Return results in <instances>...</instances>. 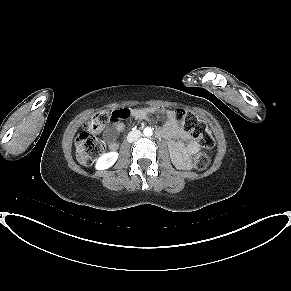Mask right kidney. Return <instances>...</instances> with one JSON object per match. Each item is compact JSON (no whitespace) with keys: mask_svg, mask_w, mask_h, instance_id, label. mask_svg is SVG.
Listing matches in <instances>:
<instances>
[{"mask_svg":"<svg viewBox=\"0 0 291 291\" xmlns=\"http://www.w3.org/2000/svg\"><path fill=\"white\" fill-rule=\"evenodd\" d=\"M119 154L117 152H108L101 155L96 162L95 168L97 170H105L110 168L118 159Z\"/></svg>","mask_w":291,"mask_h":291,"instance_id":"ca27d5eb","label":"right kidney"}]
</instances>
